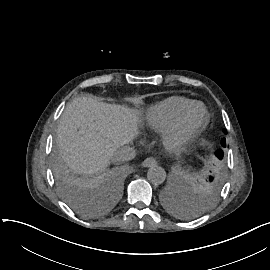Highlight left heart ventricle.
<instances>
[{"label":"left heart ventricle","mask_w":270,"mask_h":270,"mask_svg":"<svg viewBox=\"0 0 270 270\" xmlns=\"http://www.w3.org/2000/svg\"><path fill=\"white\" fill-rule=\"evenodd\" d=\"M203 117V111L201 108H196L194 109L190 116H189V120H188V123L189 124H194V123H197L198 121H200Z\"/></svg>","instance_id":"left-heart-ventricle-1"}]
</instances>
